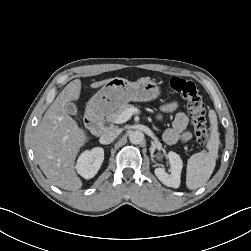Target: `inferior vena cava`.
Masks as SVG:
<instances>
[{"instance_id": "inferior-vena-cava-1", "label": "inferior vena cava", "mask_w": 251, "mask_h": 251, "mask_svg": "<svg viewBox=\"0 0 251 251\" xmlns=\"http://www.w3.org/2000/svg\"><path fill=\"white\" fill-rule=\"evenodd\" d=\"M120 134V131L118 129H109L106 130L100 137V142L102 144H110L113 142L118 135Z\"/></svg>"}]
</instances>
